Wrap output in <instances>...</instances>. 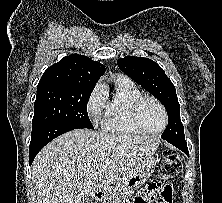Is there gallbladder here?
Listing matches in <instances>:
<instances>
[{
    "label": "gallbladder",
    "instance_id": "obj_1",
    "mask_svg": "<svg viewBox=\"0 0 222 203\" xmlns=\"http://www.w3.org/2000/svg\"><path fill=\"white\" fill-rule=\"evenodd\" d=\"M81 203H91V200H90V198L86 197L81 201Z\"/></svg>",
    "mask_w": 222,
    "mask_h": 203
}]
</instances>
